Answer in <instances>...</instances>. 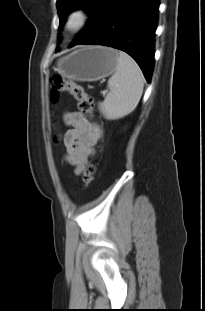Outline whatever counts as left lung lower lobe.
<instances>
[{
    "label": "left lung lower lobe",
    "mask_w": 205,
    "mask_h": 311,
    "mask_svg": "<svg viewBox=\"0 0 205 311\" xmlns=\"http://www.w3.org/2000/svg\"><path fill=\"white\" fill-rule=\"evenodd\" d=\"M159 0H114L104 19L76 44L106 45L132 56L150 82Z\"/></svg>",
    "instance_id": "0a47b994"
}]
</instances>
